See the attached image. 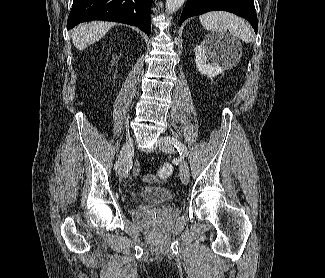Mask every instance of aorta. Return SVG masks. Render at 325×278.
<instances>
[{"instance_id":"1","label":"aorta","mask_w":325,"mask_h":278,"mask_svg":"<svg viewBox=\"0 0 325 278\" xmlns=\"http://www.w3.org/2000/svg\"><path fill=\"white\" fill-rule=\"evenodd\" d=\"M185 0H166V11L168 13L176 12L183 4Z\"/></svg>"}]
</instances>
